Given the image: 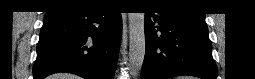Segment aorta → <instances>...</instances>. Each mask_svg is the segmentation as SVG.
Wrapping results in <instances>:
<instances>
[{
	"instance_id": "1",
	"label": "aorta",
	"mask_w": 255,
	"mask_h": 79,
	"mask_svg": "<svg viewBox=\"0 0 255 79\" xmlns=\"http://www.w3.org/2000/svg\"><path fill=\"white\" fill-rule=\"evenodd\" d=\"M129 70L136 76L142 69L145 56V14L129 13Z\"/></svg>"
}]
</instances>
